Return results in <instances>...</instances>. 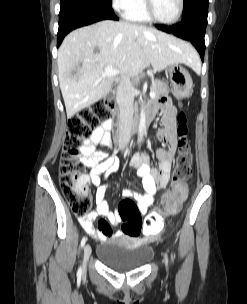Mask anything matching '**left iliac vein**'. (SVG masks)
Returning <instances> with one entry per match:
<instances>
[{"label":"left iliac vein","mask_w":247,"mask_h":304,"mask_svg":"<svg viewBox=\"0 0 247 304\" xmlns=\"http://www.w3.org/2000/svg\"><path fill=\"white\" fill-rule=\"evenodd\" d=\"M165 264H166V266L168 264L167 256H165Z\"/></svg>","instance_id":"4c4485c4"}]
</instances>
